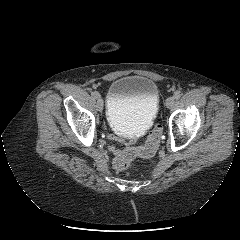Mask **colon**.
<instances>
[{
  "label": "colon",
  "mask_w": 240,
  "mask_h": 240,
  "mask_svg": "<svg viewBox=\"0 0 240 240\" xmlns=\"http://www.w3.org/2000/svg\"><path fill=\"white\" fill-rule=\"evenodd\" d=\"M161 134L162 127L157 124L144 145L130 146L122 150L114 159V167L119 171H123L130 166L134 158L152 156L159 147Z\"/></svg>",
  "instance_id": "obj_1"
}]
</instances>
